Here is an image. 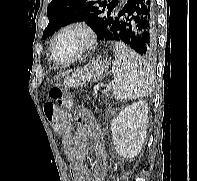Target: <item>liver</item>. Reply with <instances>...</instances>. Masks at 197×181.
Here are the masks:
<instances>
[{
  "mask_svg": "<svg viewBox=\"0 0 197 181\" xmlns=\"http://www.w3.org/2000/svg\"><path fill=\"white\" fill-rule=\"evenodd\" d=\"M68 73H69V71H67L65 74H68ZM62 75H64V74H62ZM59 77H60V75L56 76L55 78L58 79Z\"/></svg>",
  "mask_w": 197,
  "mask_h": 181,
  "instance_id": "6515ba94",
  "label": "liver"
}]
</instances>
